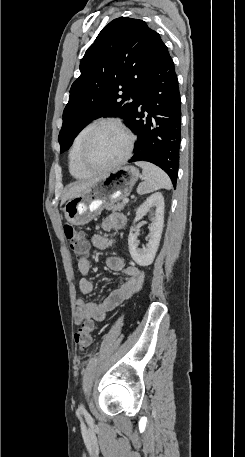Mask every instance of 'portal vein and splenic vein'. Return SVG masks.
I'll return each instance as SVG.
<instances>
[{"label": "portal vein and splenic vein", "instance_id": "portal-vein-and-splenic-vein-1", "mask_svg": "<svg viewBox=\"0 0 245 457\" xmlns=\"http://www.w3.org/2000/svg\"><path fill=\"white\" fill-rule=\"evenodd\" d=\"M129 198H123V202H128Z\"/></svg>", "mask_w": 245, "mask_h": 457}]
</instances>
